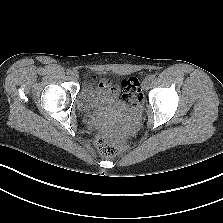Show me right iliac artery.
<instances>
[{
    "mask_svg": "<svg viewBox=\"0 0 223 223\" xmlns=\"http://www.w3.org/2000/svg\"><path fill=\"white\" fill-rule=\"evenodd\" d=\"M66 73H67L68 75L71 74V73H72L71 69H67V70H66Z\"/></svg>",
    "mask_w": 223,
    "mask_h": 223,
    "instance_id": "obj_1",
    "label": "right iliac artery"
}]
</instances>
